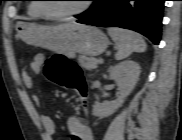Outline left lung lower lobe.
I'll list each match as a JSON object with an SVG mask.
<instances>
[{"instance_id": "1", "label": "left lung lower lobe", "mask_w": 182, "mask_h": 140, "mask_svg": "<svg viewBox=\"0 0 182 140\" xmlns=\"http://www.w3.org/2000/svg\"><path fill=\"white\" fill-rule=\"evenodd\" d=\"M99 0L96 5L78 18V23L98 27H121L137 31L158 45L164 0Z\"/></svg>"}]
</instances>
